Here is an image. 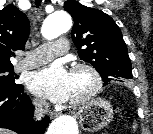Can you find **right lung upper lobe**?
Instances as JSON below:
<instances>
[{
  "label": "right lung upper lobe",
  "instance_id": "obj_1",
  "mask_svg": "<svg viewBox=\"0 0 153 134\" xmlns=\"http://www.w3.org/2000/svg\"><path fill=\"white\" fill-rule=\"evenodd\" d=\"M29 32L28 18L14 5L0 11V69L13 67L10 57L13 51L24 50Z\"/></svg>",
  "mask_w": 153,
  "mask_h": 134
}]
</instances>
